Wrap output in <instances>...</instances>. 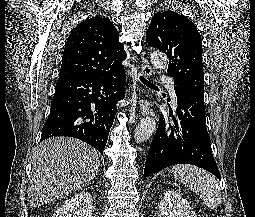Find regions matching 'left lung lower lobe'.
<instances>
[{
	"label": "left lung lower lobe",
	"instance_id": "left-lung-lower-lobe-1",
	"mask_svg": "<svg viewBox=\"0 0 255 217\" xmlns=\"http://www.w3.org/2000/svg\"><path fill=\"white\" fill-rule=\"evenodd\" d=\"M177 115L174 123L160 118L146 159L144 177L175 164H192L221 179L206 129L203 94L175 84Z\"/></svg>",
	"mask_w": 255,
	"mask_h": 217
}]
</instances>
